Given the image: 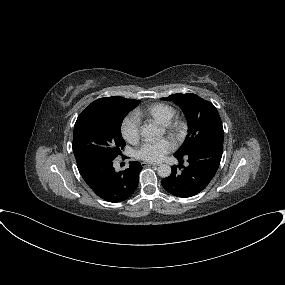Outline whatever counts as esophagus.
I'll list each match as a JSON object with an SVG mask.
<instances>
[{
  "instance_id": "obj_1",
  "label": "esophagus",
  "mask_w": 285,
  "mask_h": 285,
  "mask_svg": "<svg viewBox=\"0 0 285 285\" xmlns=\"http://www.w3.org/2000/svg\"><path fill=\"white\" fill-rule=\"evenodd\" d=\"M158 164H156V163H147V162H143L142 163V166L143 167H147V166H157Z\"/></svg>"
}]
</instances>
